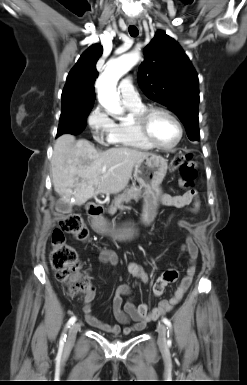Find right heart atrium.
<instances>
[{"mask_svg":"<svg viewBox=\"0 0 247 385\" xmlns=\"http://www.w3.org/2000/svg\"><path fill=\"white\" fill-rule=\"evenodd\" d=\"M87 122L95 140L110 142L109 136L114 126V121L100 106H96L88 115Z\"/></svg>","mask_w":247,"mask_h":385,"instance_id":"d8ad5b80","label":"right heart atrium"}]
</instances>
